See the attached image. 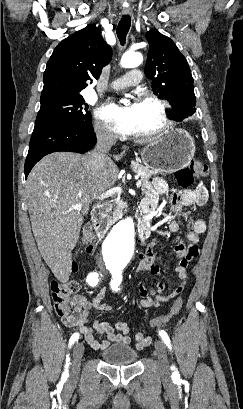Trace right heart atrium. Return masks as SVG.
Segmentation results:
<instances>
[{"mask_svg":"<svg viewBox=\"0 0 243 409\" xmlns=\"http://www.w3.org/2000/svg\"><path fill=\"white\" fill-rule=\"evenodd\" d=\"M94 131L96 137L103 142H112L115 139V135L108 128V126L100 120H97L94 124Z\"/></svg>","mask_w":243,"mask_h":409,"instance_id":"obj_1","label":"right heart atrium"}]
</instances>
